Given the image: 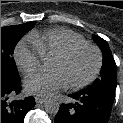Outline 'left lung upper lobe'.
<instances>
[{"instance_id": "5c2ea615", "label": "left lung upper lobe", "mask_w": 123, "mask_h": 123, "mask_svg": "<svg viewBox=\"0 0 123 123\" xmlns=\"http://www.w3.org/2000/svg\"><path fill=\"white\" fill-rule=\"evenodd\" d=\"M95 42L103 53V64L100 72V78L89 86V90H99L114 93L116 84L115 61L108 43L101 37L94 36Z\"/></svg>"}]
</instances>
